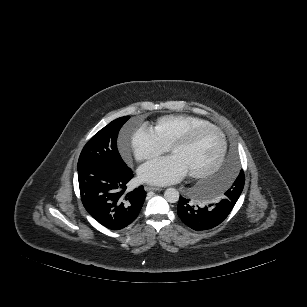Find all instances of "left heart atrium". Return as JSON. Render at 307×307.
<instances>
[{
  "label": "left heart atrium",
  "instance_id": "obj_1",
  "mask_svg": "<svg viewBox=\"0 0 307 307\" xmlns=\"http://www.w3.org/2000/svg\"><path fill=\"white\" fill-rule=\"evenodd\" d=\"M187 170L173 155L152 160L138 169V178L146 183L165 185L181 180Z\"/></svg>",
  "mask_w": 307,
  "mask_h": 307
}]
</instances>
